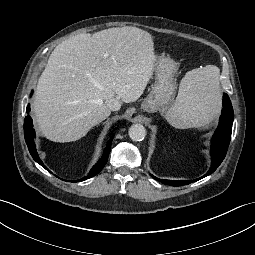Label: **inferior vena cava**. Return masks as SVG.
<instances>
[{
    "mask_svg": "<svg viewBox=\"0 0 255 255\" xmlns=\"http://www.w3.org/2000/svg\"><path fill=\"white\" fill-rule=\"evenodd\" d=\"M106 106L111 111H118L121 108V103L118 99L112 98V99L106 101Z\"/></svg>",
    "mask_w": 255,
    "mask_h": 255,
    "instance_id": "1",
    "label": "inferior vena cava"
}]
</instances>
